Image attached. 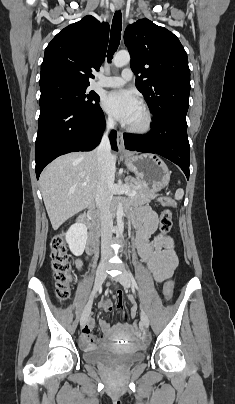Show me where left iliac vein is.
<instances>
[{
	"label": "left iliac vein",
	"instance_id": "left-iliac-vein-1",
	"mask_svg": "<svg viewBox=\"0 0 235 404\" xmlns=\"http://www.w3.org/2000/svg\"><path fill=\"white\" fill-rule=\"evenodd\" d=\"M117 280L120 282V284H121L124 288L128 289V288L131 287L130 277H129V275H128L127 272L123 271L121 274H119V275L117 276ZM141 322H142V324H143V326H144L145 328H148V327H149V319H148V316H147V314L145 313V311H143V310H142V312H141Z\"/></svg>",
	"mask_w": 235,
	"mask_h": 404
}]
</instances>
